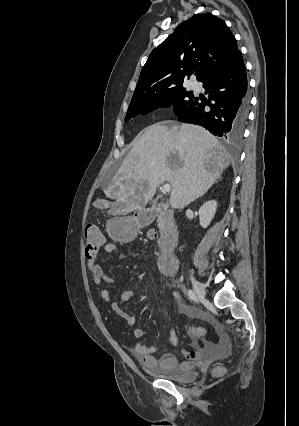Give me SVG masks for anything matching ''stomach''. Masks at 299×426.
I'll return each mask as SVG.
<instances>
[{
  "label": "stomach",
  "mask_w": 299,
  "mask_h": 426,
  "mask_svg": "<svg viewBox=\"0 0 299 426\" xmlns=\"http://www.w3.org/2000/svg\"><path fill=\"white\" fill-rule=\"evenodd\" d=\"M108 235L117 241H129L136 233V224L132 219L113 217L106 223Z\"/></svg>",
  "instance_id": "0dacf381"
}]
</instances>
